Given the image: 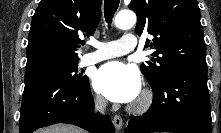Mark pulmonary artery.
<instances>
[{"label": "pulmonary artery", "mask_w": 221, "mask_h": 133, "mask_svg": "<svg viewBox=\"0 0 221 133\" xmlns=\"http://www.w3.org/2000/svg\"><path fill=\"white\" fill-rule=\"evenodd\" d=\"M95 51L86 53L81 59V65H90L106 59L125 55L137 47V40L133 34H125L120 41L98 42L92 41Z\"/></svg>", "instance_id": "1"}]
</instances>
